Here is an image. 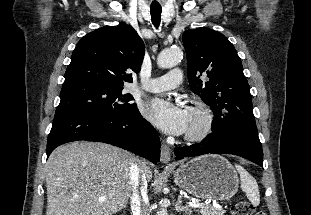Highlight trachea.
Returning a JSON list of instances; mask_svg holds the SVG:
<instances>
[{"label": "trachea", "instance_id": "3493384b", "mask_svg": "<svg viewBox=\"0 0 311 215\" xmlns=\"http://www.w3.org/2000/svg\"><path fill=\"white\" fill-rule=\"evenodd\" d=\"M161 12H162V8L160 6L150 7L151 21L156 28L159 27L160 22H161Z\"/></svg>", "mask_w": 311, "mask_h": 215}]
</instances>
